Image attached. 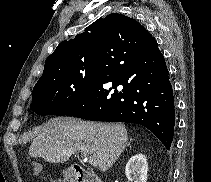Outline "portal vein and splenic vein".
<instances>
[{"label":"portal vein and splenic vein","instance_id":"portal-vein-and-splenic-vein-1","mask_svg":"<svg viewBox=\"0 0 211 182\" xmlns=\"http://www.w3.org/2000/svg\"><path fill=\"white\" fill-rule=\"evenodd\" d=\"M88 161H89V163H90L91 165L97 166V160H96V158H95L94 156H90V157L88 158Z\"/></svg>","mask_w":211,"mask_h":182}]
</instances>
